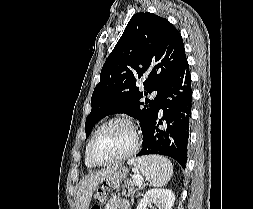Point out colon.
<instances>
[{
	"instance_id": "5ec220e1",
	"label": "colon",
	"mask_w": 253,
	"mask_h": 209,
	"mask_svg": "<svg viewBox=\"0 0 253 209\" xmlns=\"http://www.w3.org/2000/svg\"><path fill=\"white\" fill-rule=\"evenodd\" d=\"M104 192L102 190L99 191L98 195H102ZM99 199V197H98ZM91 209H100L99 206H93Z\"/></svg>"
}]
</instances>
